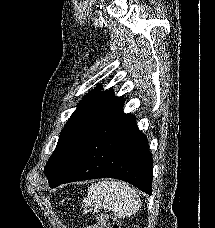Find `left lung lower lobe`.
<instances>
[{
	"label": "left lung lower lobe",
	"mask_w": 215,
	"mask_h": 228,
	"mask_svg": "<svg viewBox=\"0 0 215 228\" xmlns=\"http://www.w3.org/2000/svg\"><path fill=\"white\" fill-rule=\"evenodd\" d=\"M123 106L103 122L51 180V188L63 183L96 178L127 181L151 195L153 159L148 140L139 131L134 115Z\"/></svg>",
	"instance_id": "left-lung-lower-lobe-1"
}]
</instances>
